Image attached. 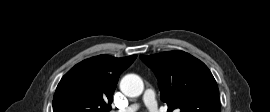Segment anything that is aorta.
<instances>
[{"label":"aorta","instance_id":"1","mask_svg":"<svg viewBox=\"0 0 270 112\" xmlns=\"http://www.w3.org/2000/svg\"><path fill=\"white\" fill-rule=\"evenodd\" d=\"M120 90L128 97H138L144 90V83L138 75L128 74L121 79Z\"/></svg>","mask_w":270,"mask_h":112}]
</instances>
